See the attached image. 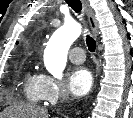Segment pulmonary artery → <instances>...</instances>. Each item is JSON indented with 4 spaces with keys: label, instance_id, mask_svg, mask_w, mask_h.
<instances>
[{
    "label": "pulmonary artery",
    "instance_id": "obj_1",
    "mask_svg": "<svg viewBox=\"0 0 133 118\" xmlns=\"http://www.w3.org/2000/svg\"><path fill=\"white\" fill-rule=\"evenodd\" d=\"M69 59L76 64L83 63L85 60L83 48L79 46L72 48L69 52Z\"/></svg>",
    "mask_w": 133,
    "mask_h": 118
}]
</instances>
